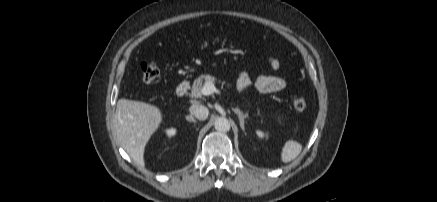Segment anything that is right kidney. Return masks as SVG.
Returning a JSON list of instances; mask_svg holds the SVG:
<instances>
[{
  "label": "right kidney",
  "instance_id": "obj_1",
  "mask_svg": "<svg viewBox=\"0 0 437 202\" xmlns=\"http://www.w3.org/2000/svg\"><path fill=\"white\" fill-rule=\"evenodd\" d=\"M166 134L168 137H172L176 134V129H174V128L168 129V130H166Z\"/></svg>",
  "mask_w": 437,
  "mask_h": 202
}]
</instances>
